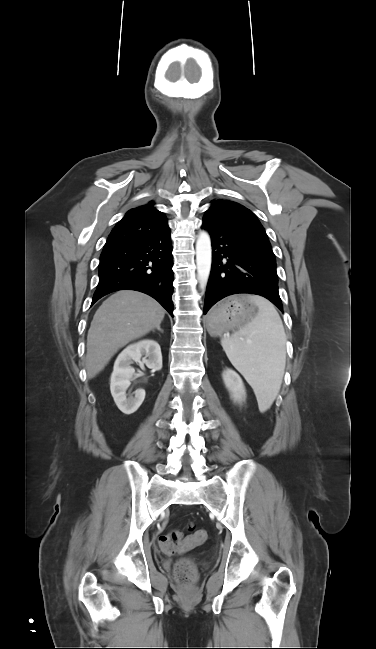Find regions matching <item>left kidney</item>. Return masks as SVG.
<instances>
[{
    "label": "left kidney",
    "mask_w": 376,
    "mask_h": 649,
    "mask_svg": "<svg viewBox=\"0 0 376 649\" xmlns=\"http://www.w3.org/2000/svg\"><path fill=\"white\" fill-rule=\"evenodd\" d=\"M223 381L234 402L241 403L246 398L244 383L238 373L231 369L223 372Z\"/></svg>",
    "instance_id": "5707ae66"
}]
</instances>
